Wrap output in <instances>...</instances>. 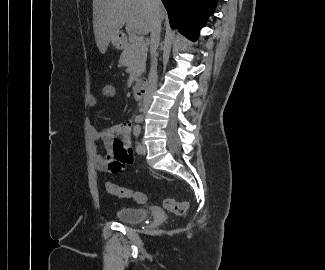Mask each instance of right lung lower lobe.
<instances>
[{"instance_id": "1", "label": "right lung lower lobe", "mask_w": 325, "mask_h": 270, "mask_svg": "<svg viewBox=\"0 0 325 270\" xmlns=\"http://www.w3.org/2000/svg\"><path fill=\"white\" fill-rule=\"evenodd\" d=\"M170 25L193 40L213 14L217 0H162Z\"/></svg>"}]
</instances>
